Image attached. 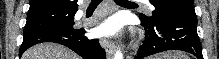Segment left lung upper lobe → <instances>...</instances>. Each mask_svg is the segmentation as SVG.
I'll return each instance as SVG.
<instances>
[{"mask_svg": "<svg viewBox=\"0 0 219 59\" xmlns=\"http://www.w3.org/2000/svg\"><path fill=\"white\" fill-rule=\"evenodd\" d=\"M151 3L155 7L153 16L140 14L141 20L156 22L159 18L171 16L189 5L194 6L193 0H151Z\"/></svg>", "mask_w": 219, "mask_h": 59, "instance_id": "5c2ea615", "label": "left lung upper lobe"}]
</instances>
